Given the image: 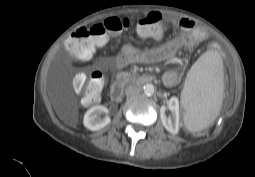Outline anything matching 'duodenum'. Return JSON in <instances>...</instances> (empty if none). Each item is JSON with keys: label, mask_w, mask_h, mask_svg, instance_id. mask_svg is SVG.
<instances>
[{"label": "duodenum", "mask_w": 255, "mask_h": 177, "mask_svg": "<svg viewBox=\"0 0 255 177\" xmlns=\"http://www.w3.org/2000/svg\"><path fill=\"white\" fill-rule=\"evenodd\" d=\"M156 79V77L152 74H142V75H137L132 78V81L138 83V84H146L153 82ZM123 84L124 81L121 79L116 80L112 86H111V97L115 101H120L122 92H123Z\"/></svg>", "instance_id": "410a0bca"}]
</instances>
